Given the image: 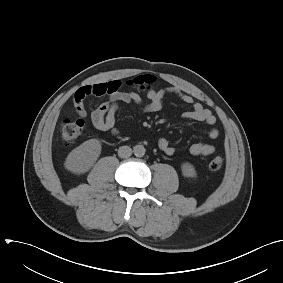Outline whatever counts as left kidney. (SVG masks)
Listing matches in <instances>:
<instances>
[{
    "mask_svg": "<svg viewBox=\"0 0 283 283\" xmlns=\"http://www.w3.org/2000/svg\"><path fill=\"white\" fill-rule=\"evenodd\" d=\"M181 169H182V174L185 177L194 178L197 175L196 170L191 163H188V162L183 163L181 166Z\"/></svg>",
    "mask_w": 283,
    "mask_h": 283,
    "instance_id": "left-kidney-1",
    "label": "left kidney"
}]
</instances>
